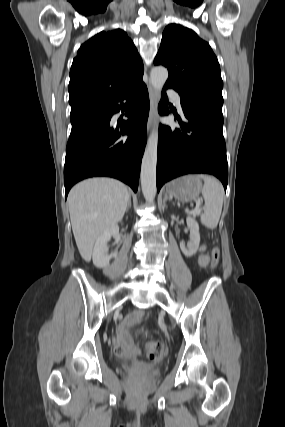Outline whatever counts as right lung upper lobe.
Returning <instances> with one entry per match:
<instances>
[{"mask_svg":"<svg viewBox=\"0 0 285 427\" xmlns=\"http://www.w3.org/2000/svg\"><path fill=\"white\" fill-rule=\"evenodd\" d=\"M142 76V59L123 30L98 33L79 48L73 60L68 86L71 113L109 101Z\"/></svg>","mask_w":285,"mask_h":427,"instance_id":"obj_1","label":"right lung upper lobe"}]
</instances>
